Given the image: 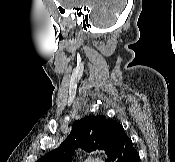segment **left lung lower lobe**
I'll return each mask as SVG.
<instances>
[{"mask_svg": "<svg viewBox=\"0 0 175 162\" xmlns=\"http://www.w3.org/2000/svg\"><path fill=\"white\" fill-rule=\"evenodd\" d=\"M108 162H139V154L126 134L117 143Z\"/></svg>", "mask_w": 175, "mask_h": 162, "instance_id": "0a47b994", "label": "left lung lower lobe"}]
</instances>
